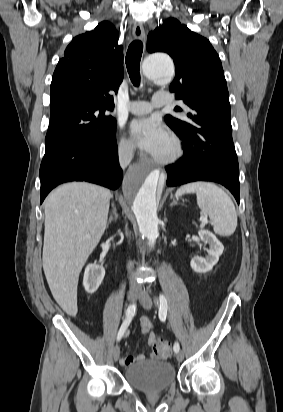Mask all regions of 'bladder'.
Listing matches in <instances>:
<instances>
[{
	"label": "bladder",
	"mask_w": 283,
	"mask_h": 412,
	"mask_svg": "<svg viewBox=\"0 0 283 412\" xmlns=\"http://www.w3.org/2000/svg\"><path fill=\"white\" fill-rule=\"evenodd\" d=\"M125 381L143 392H161L176 381V372L171 363L163 360L142 362L124 371Z\"/></svg>",
	"instance_id": "obj_1"
}]
</instances>
